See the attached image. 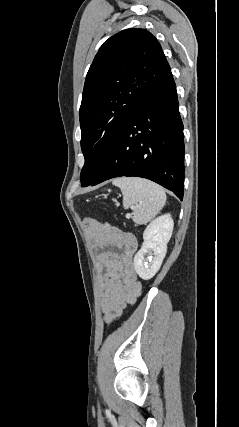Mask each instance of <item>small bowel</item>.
<instances>
[{"label":"small bowel","instance_id":"small-bowel-1","mask_svg":"<svg viewBox=\"0 0 239 427\" xmlns=\"http://www.w3.org/2000/svg\"><path fill=\"white\" fill-rule=\"evenodd\" d=\"M101 274L102 310L109 323L122 315L141 293L134 268L137 242L130 233L93 219L86 221Z\"/></svg>","mask_w":239,"mask_h":427}]
</instances>
